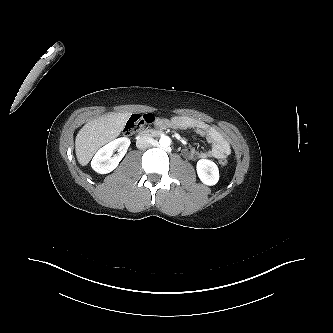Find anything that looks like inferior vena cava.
I'll return each instance as SVG.
<instances>
[{
  "label": "inferior vena cava",
  "mask_w": 333,
  "mask_h": 333,
  "mask_svg": "<svg viewBox=\"0 0 333 333\" xmlns=\"http://www.w3.org/2000/svg\"><path fill=\"white\" fill-rule=\"evenodd\" d=\"M149 146H151V144H150V138L147 137V136L139 137V138L136 140V147H137L138 149H146V148H148Z\"/></svg>",
  "instance_id": "obj_1"
}]
</instances>
